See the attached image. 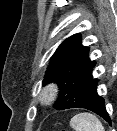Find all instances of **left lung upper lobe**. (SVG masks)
Here are the masks:
<instances>
[{
    "mask_svg": "<svg viewBox=\"0 0 117 131\" xmlns=\"http://www.w3.org/2000/svg\"><path fill=\"white\" fill-rule=\"evenodd\" d=\"M95 61L89 58V48L81 45L80 34L65 39L52 56L46 71L44 83L56 82L60 96L55 103L58 110L66 109L70 96L68 91L83 88L92 77Z\"/></svg>",
    "mask_w": 117,
    "mask_h": 131,
    "instance_id": "1",
    "label": "left lung upper lobe"
}]
</instances>
